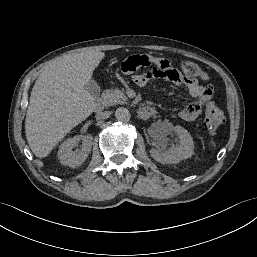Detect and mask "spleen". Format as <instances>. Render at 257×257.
I'll return each instance as SVG.
<instances>
[{
    "mask_svg": "<svg viewBox=\"0 0 257 257\" xmlns=\"http://www.w3.org/2000/svg\"><path fill=\"white\" fill-rule=\"evenodd\" d=\"M211 145H212L213 147L216 146L214 141H211Z\"/></svg>",
    "mask_w": 257,
    "mask_h": 257,
    "instance_id": "obj_1",
    "label": "spleen"
}]
</instances>
